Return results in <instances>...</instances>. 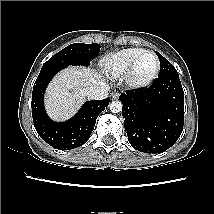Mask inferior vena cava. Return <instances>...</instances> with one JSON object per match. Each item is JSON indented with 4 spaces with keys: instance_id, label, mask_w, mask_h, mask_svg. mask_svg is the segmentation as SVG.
Returning <instances> with one entry per match:
<instances>
[{
    "instance_id": "inferior-vena-cava-1",
    "label": "inferior vena cava",
    "mask_w": 214,
    "mask_h": 214,
    "mask_svg": "<svg viewBox=\"0 0 214 214\" xmlns=\"http://www.w3.org/2000/svg\"><path fill=\"white\" fill-rule=\"evenodd\" d=\"M108 90L109 86L106 83L99 82L86 88L85 93L89 99L103 100L108 97Z\"/></svg>"
}]
</instances>
